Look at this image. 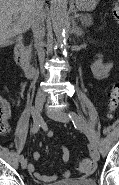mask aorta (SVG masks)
Masks as SVG:
<instances>
[{
	"label": "aorta",
	"mask_w": 119,
	"mask_h": 185,
	"mask_svg": "<svg viewBox=\"0 0 119 185\" xmlns=\"http://www.w3.org/2000/svg\"><path fill=\"white\" fill-rule=\"evenodd\" d=\"M67 3L68 0H51L50 16L53 30L59 42H63L67 27ZM65 55L66 49H64Z\"/></svg>",
	"instance_id": "1"
}]
</instances>
